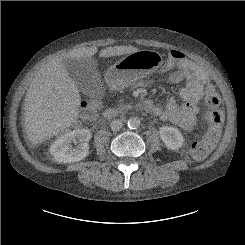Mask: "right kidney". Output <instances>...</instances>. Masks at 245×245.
<instances>
[{
  "label": "right kidney",
  "mask_w": 245,
  "mask_h": 245,
  "mask_svg": "<svg viewBox=\"0 0 245 245\" xmlns=\"http://www.w3.org/2000/svg\"><path fill=\"white\" fill-rule=\"evenodd\" d=\"M90 139L91 132L89 130L84 128L73 130L55 140L49 150L58 163L77 162L89 154L88 142ZM72 143L76 146L73 147Z\"/></svg>",
  "instance_id": "1"
}]
</instances>
